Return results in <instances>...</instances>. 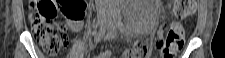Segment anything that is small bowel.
<instances>
[{"label": "small bowel", "instance_id": "c3829d8e", "mask_svg": "<svg viewBox=\"0 0 225 58\" xmlns=\"http://www.w3.org/2000/svg\"><path fill=\"white\" fill-rule=\"evenodd\" d=\"M68 25L73 32H78L83 27L82 20L80 21H70L68 20ZM112 52L110 50L104 51L99 55V58H110Z\"/></svg>", "mask_w": 225, "mask_h": 58}]
</instances>
